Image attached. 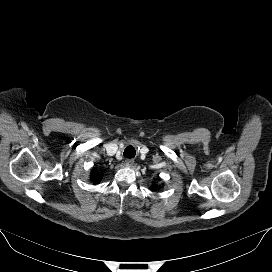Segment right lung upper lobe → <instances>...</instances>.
Instances as JSON below:
<instances>
[{"mask_svg":"<svg viewBox=\"0 0 272 272\" xmlns=\"http://www.w3.org/2000/svg\"><path fill=\"white\" fill-rule=\"evenodd\" d=\"M91 180L94 182V183H98L99 180H100V177L99 175L97 174L96 170H93L92 173H91Z\"/></svg>","mask_w":272,"mask_h":272,"instance_id":"cb5924a9","label":"right lung upper lobe"}]
</instances>
